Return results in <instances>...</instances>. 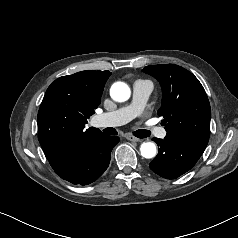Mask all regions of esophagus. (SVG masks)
I'll return each instance as SVG.
<instances>
[{
	"label": "esophagus",
	"mask_w": 238,
	"mask_h": 238,
	"mask_svg": "<svg viewBox=\"0 0 238 238\" xmlns=\"http://www.w3.org/2000/svg\"><path fill=\"white\" fill-rule=\"evenodd\" d=\"M125 137L127 140L132 141V142H140L141 141V139H139L131 134H127Z\"/></svg>",
	"instance_id": "34e87169"
}]
</instances>
